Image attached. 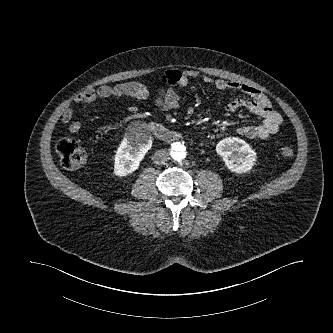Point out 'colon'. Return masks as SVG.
<instances>
[{
	"label": "colon",
	"mask_w": 333,
	"mask_h": 333,
	"mask_svg": "<svg viewBox=\"0 0 333 333\" xmlns=\"http://www.w3.org/2000/svg\"><path fill=\"white\" fill-rule=\"evenodd\" d=\"M56 151L59 155L60 165L64 170L71 171L83 167L88 160L86 150L75 140L64 138L56 145ZM281 156L291 158L294 151L291 147L284 146L280 150Z\"/></svg>",
	"instance_id": "1"
}]
</instances>
